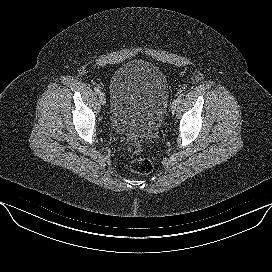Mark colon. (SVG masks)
Wrapping results in <instances>:
<instances>
[{"instance_id":"1","label":"colon","mask_w":272,"mask_h":272,"mask_svg":"<svg viewBox=\"0 0 272 272\" xmlns=\"http://www.w3.org/2000/svg\"><path fill=\"white\" fill-rule=\"evenodd\" d=\"M129 152L133 155L130 168L134 173L146 175L153 170L152 161L149 158L141 155L142 145L140 142H131L129 145Z\"/></svg>"}]
</instances>
